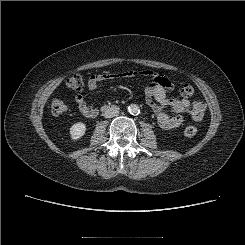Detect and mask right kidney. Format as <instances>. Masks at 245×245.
Returning <instances> with one entry per match:
<instances>
[{"label": "right kidney", "mask_w": 245, "mask_h": 245, "mask_svg": "<svg viewBox=\"0 0 245 245\" xmlns=\"http://www.w3.org/2000/svg\"><path fill=\"white\" fill-rule=\"evenodd\" d=\"M86 132V125L83 122H77L70 128V137L72 140H79Z\"/></svg>", "instance_id": "obj_1"}]
</instances>
